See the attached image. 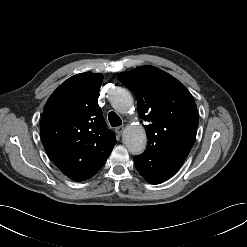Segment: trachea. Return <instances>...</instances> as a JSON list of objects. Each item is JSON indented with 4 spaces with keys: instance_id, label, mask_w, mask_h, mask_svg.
I'll return each mask as SVG.
<instances>
[{
    "instance_id": "1",
    "label": "trachea",
    "mask_w": 247,
    "mask_h": 247,
    "mask_svg": "<svg viewBox=\"0 0 247 247\" xmlns=\"http://www.w3.org/2000/svg\"><path fill=\"white\" fill-rule=\"evenodd\" d=\"M108 119L112 127H117L122 124L121 118L115 112H110Z\"/></svg>"
}]
</instances>
